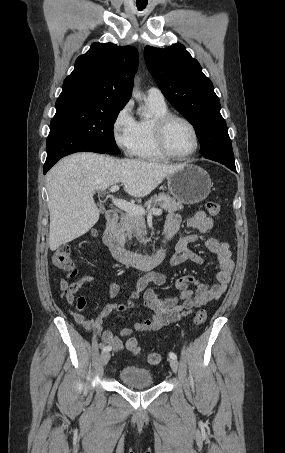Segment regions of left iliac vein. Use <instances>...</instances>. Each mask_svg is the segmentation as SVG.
Segmentation results:
<instances>
[{
  "label": "left iliac vein",
  "instance_id": "obj_1",
  "mask_svg": "<svg viewBox=\"0 0 285 453\" xmlns=\"http://www.w3.org/2000/svg\"><path fill=\"white\" fill-rule=\"evenodd\" d=\"M170 367L174 373L178 371V361L176 359H170Z\"/></svg>",
  "mask_w": 285,
  "mask_h": 453
}]
</instances>
